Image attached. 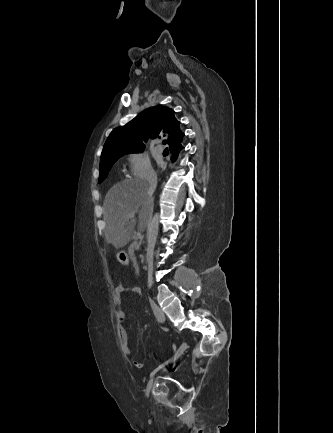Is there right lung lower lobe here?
Returning <instances> with one entry per match:
<instances>
[{
  "label": "right lung lower lobe",
  "mask_w": 333,
  "mask_h": 433,
  "mask_svg": "<svg viewBox=\"0 0 333 433\" xmlns=\"http://www.w3.org/2000/svg\"><path fill=\"white\" fill-rule=\"evenodd\" d=\"M181 149H183L182 145H179V146L174 147L173 149H170L172 152V157H171L172 162L176 161L178 154H179Z\"/></svg>",
  "instance_id": "1"
}]
</instances>
